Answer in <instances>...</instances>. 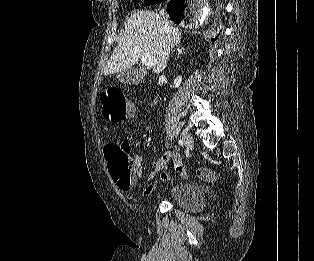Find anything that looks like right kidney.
<instances>
[{
	"label": "right kidney",
	"mask_w": 314,
	"mask_h": 261,
	"mask_svg": "<svg viewBox=\"0 0 314 261\" xmlns=\"http://www.w3.org/2000/svg\"><path fill=\"white\" fill-rule=\"evenodd\" d=\"M182 82V77L181 76H178L175 80H174V87L175 88H178L180 86Z\"/></svg>",
	"instance_id": "1"
}]
</instances>
